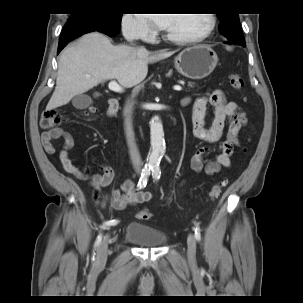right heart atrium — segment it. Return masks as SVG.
<instances>
[{
	"mask_svg": "<svg viewBox=\"0 0 303 303\" xmlns=\"http://www.w3.org/2000/svg\"><path fill=\"white\" fill-rule=\"evenodd\" d=\"M122 32L131 38L148 40L151 35L149 24L137 14H127L121 20Z\"/></svg>",
	"mask_w": 303,
	"mask_h": 303,
	"instance_id": "right-heart-atrium-1",
	"label": "right heart atrium"
}]
</instances>
